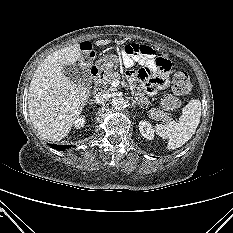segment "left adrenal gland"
<instances>
[{"label":"left adrenal gland","mask_w":233,"mask_h":233,"mask_svg":"<svg viewBox=\"0 0 233 233\" xmlns=\"http://www.w3.org/2000/svg\"><path fill=\"white\" fill-rule=\"evenodd\" d=\"M131 101H132V106L135 108L136 107V105H138V103L132 98L131 99ZM141 106V105H140ZM142 107V106H141Z\"/></svg>","instance_id":"obj_1"}]
</instances>
